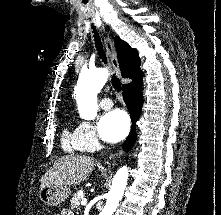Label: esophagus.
I'll list each match as a JSON object with an SVG mask.
<instances>
[{"instance_id":"34e87169","label":"esophagus","mask_w":221,"mask_h":215,"mask_svg":"<svg viewBox=\"0 0 221 215\" xmlns=\"http://www.w3.org/2000/svg\"><path fill=\"white\" fill-rule=\"evenodd\" d=\"M103 42H104V46H105V49H106V53H107V55H108V57L111 61V64H112L116 74L119 77H121L119 63H118L117 57L114 53L112 40H111L109 34H104L103 35ZM121 154H122V152H119L118 154H116V156H120ZM113 158H115V157H113Z\"/></svg>"}]
</instances>
